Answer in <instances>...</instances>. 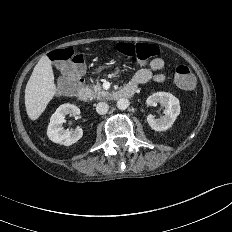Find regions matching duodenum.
Here are the masks:
<instances>
[{
  "label": "duodenum",
  "mask_w": 232,
  "mask_h": 232,
  "mask_svg": "<svg viewBox=\"0 0 232 232\" xmlns=\"http://www.w3.org/2000/svg\"><path fill=\"white\" fill-rule=\"evenodd\" d=\"M135 93V88L131 86H125L117 91H114L110 94V98L112 100H120V99H125V98H130L134 95ZM76 95L79 100L81 101H87L89 98L88 91L84 87H80Z\"/></svg>",
  "instance_id": "obj_1"
}]
</instances>
